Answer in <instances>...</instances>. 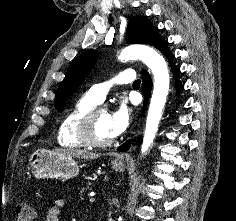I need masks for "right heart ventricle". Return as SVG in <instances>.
Returning <instances> with one entry per match:
<instances>
[{
	"instance_id": "1",
	"label": "right heart ventricle",
	"mask_w": 236,
	"mask_h": 221,
	"mask_svg": "<svg viewBox=\"0 0 236 221\" xmlns=\"http://www.w3.org/2000/svg\"><path fill=\"white\" fill-rule=\"evenodd\" d=\"M98 105L88 94L81 96L63 116L57 131L58 144L66 149H81L85 145L78 138V126L83 116Z\"/></svg>"
}]
</instances>
